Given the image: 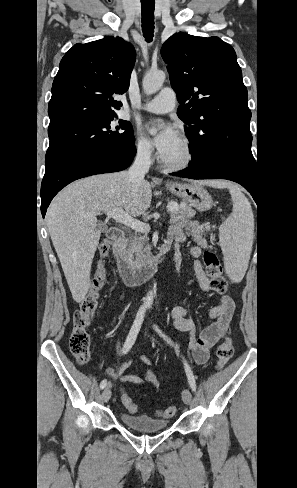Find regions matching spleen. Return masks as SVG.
Wrapping results in <instances>:
<instances>
[{
    "instance_id": "spleen-1",
    "label": "spleen",
    "mask_w": 297,
    "mask_h": 488,
    "mask_svg": "<svg viewBox=\"0 0 297 488\" xmlns=\"http://www.w3.org/2000/svg\"><path fill=\"white\" fill-rule=\"evenodd\" d=\"M233 210L219 229L225 271L240 282L248 268L254 238V216L248 199L237 186H229Z\"/></svg>"
}]
</instances>
